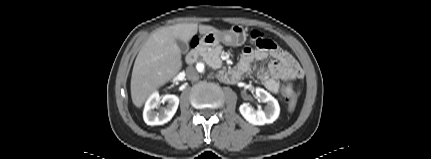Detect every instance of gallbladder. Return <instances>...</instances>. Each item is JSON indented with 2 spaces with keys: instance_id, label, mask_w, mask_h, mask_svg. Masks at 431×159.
Wrapping results in <instances>:
<instances>
[{
  "instance_id": "bac80fb5",
  "label": "gallbladder",
  "mask_w": 431,
  "mask_h": 159,
  "mask_svg": "<svg viewBox=\"0 0 431 159\" xmlns=\"http://www.w3.org/2000/svg\"><path fill=\"white\" fill-rule=\"evenodd\" d=\"M176 43H177L178 47L180 48V50L183 54H186L189 51L188 43H186L182 40H179V39L176 40Z\"/></svg>"
}]
</instances>
